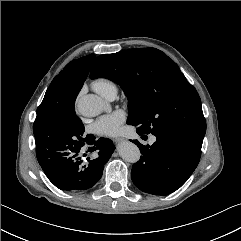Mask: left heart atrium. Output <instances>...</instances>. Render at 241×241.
I'll list each match as a JSON object with an SVG mask.
<instances>
[{"label": "left heart atrium", "mask_w": 241, "mask_h": 241, "mask_svg": "<svg viewBox=\"0 0 241 241\" xmlns=\"http://www.w3.org/2000/svg\"><path fill=\"white\" fill-rule=\"evenodd\" d=\"M125 120L122 111H115L111 114L100 117L92 126L93 131L100 135L114 136L120 132L121 125Z\"/></svg>", "instance_id": "1"}]
</instances>
